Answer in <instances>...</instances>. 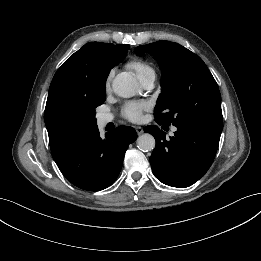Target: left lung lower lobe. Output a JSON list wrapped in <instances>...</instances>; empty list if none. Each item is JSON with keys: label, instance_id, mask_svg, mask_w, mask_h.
<instances>
[{"label": "left lung lower lobe", "instance_id": "0a47b994", "mask_svg": "<svg viewBox=\"0 0 261 261\" xmlns=\"http://www.w3.org/2000/svg\"><path fill=\"white\" fill-rule=\"evenodd\" d=\"M159 124V123H158ZM223 126L177 127L174 136L150 125L144 131L154 136L156 147L149 159L153 174L172 187H188L210 168L218 149Z\"/></svg>", "mask_w": 261, "mask_h": 261}]
</instances>
